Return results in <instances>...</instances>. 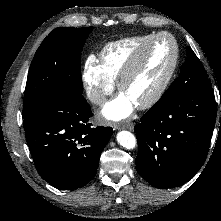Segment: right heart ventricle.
Listing matches in <instances>:
<instances>
[{"label": "right heart ventricle", "instance_id": "1", "mask_svg": "<svg viewBox=\"0 0 221 221\" xmlns=\"http://www.w3.org/2000/svg\"><path fill=\"white\" fill-rule=\"evenodd\" d=\"M153 34L119 39L104 46L99 55L103 72L113 82L117 81L139 47Z\"/></svg>", "mask_w": 221, "mask_h": 221}]
</instances>
